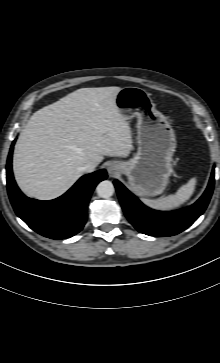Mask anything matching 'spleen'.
Listing matches in <instances>:
<instances>
[{"mask_svg": "<svg viewBox=\"0 0 220 363\" xmlns=\"http://www.w3.org/2000/svg\"><path fill=\"white\" fill-rule=\"evenodd\" d=\"M196 179H190L185 185H182L175 194L160 199H142V202L148 207L159 211H170L178 208L185 203L194 193Z\"/></svg>", "mask_w": 220, "mask_h": 363, "instance_id": "1", "label": "spleen"}]
</instances>
